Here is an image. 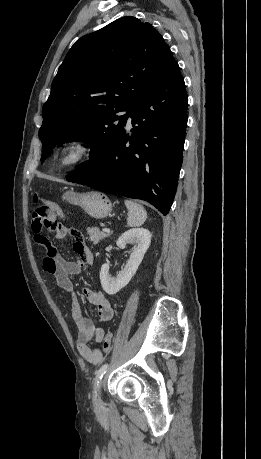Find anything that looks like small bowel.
I'll use <instances>...</instances> for the list:
<instances>
[{"instance_id":"c3829d8e","label":"small bowel","mask_w":261,"mask_h":459,"mask_svg":"<svg viewBox=\"0 0 261 459\" xmlns=\"http://www.w3.org/2000/svg\"><path fill=\"white\" fill-rule=\"evenodd\" d=\"M47 229L52 232L56 240H62L67 236H70L73 240V250L78 256L77 261H69L61 257L56 247L45 235L42 238L35 236L36 242L45 251L43 258L44 271L53 275L58 287L73 297L71 318L78 330L76 340L77 350L87 362L98 365L102 361V353L98 348L91 347L90 343L92 341L96 343L102 342L105 332L104 329L98 327L91 318L84 314L82 303L77 297L75 286L70 278L72 275L80 274L83 268L92 265L93 253L85 244L83 236L79 231L56 223V221ZM82 293L87 301L95 306L100 321L108 322L113 318L114 311L111 303L102 291L83 288Z\"/></svg>"}]
</instances>
